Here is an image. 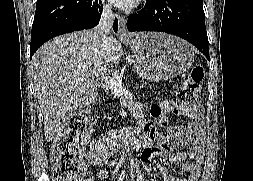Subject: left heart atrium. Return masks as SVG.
I'll return each instance as SVG.
<instances>
[{
	"mask_svg": "<svg viewBox=\"0 0 253 181\" xmlns=\"http://www.w3.org/2000/svg\"><path fill=\"white\" fill-rule=\"evenodd\" d=\"M114 5L123 9H130L137 5L139 0H110Z\"/></svg>",
	"mask_w": 253,
	"mask_h": 181,
	"instance_id": "39dd6f15",
	"label": "left heart atrium"
}]
</instances>
